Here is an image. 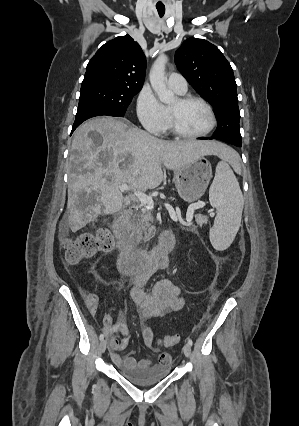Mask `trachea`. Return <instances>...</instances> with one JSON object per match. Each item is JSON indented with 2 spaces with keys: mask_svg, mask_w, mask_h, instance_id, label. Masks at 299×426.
<instances>
[{
  "mask_svg": "<svg viewBox=\"0 0 299 426\" xmlns=\"http://www.w3.org/2000/svg\"><path fill=\"white\" fill-rule=\"evenodd\" d=\"M158 14L160 17H163L165 14V8H157Z\"/></svg>",
  "mask_w": 299,
  "mask_h": 426,
  "instance_id": "obj_1",
  "label": "trachea"
}]
</instances>
